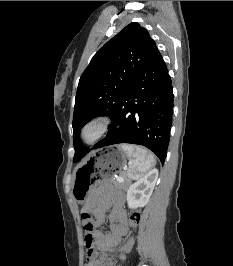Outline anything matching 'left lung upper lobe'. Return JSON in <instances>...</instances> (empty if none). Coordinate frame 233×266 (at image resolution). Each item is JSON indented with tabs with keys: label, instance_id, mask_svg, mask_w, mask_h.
I'll return each mask as SVG.
<instances>
[{
	"label": "left lung upper lobe",
	"instance_id": "obj_1",
	"mask_svg": "<svg viewBox=\"0 0 233 266\" xmlns=\"http://www.w3.org/2000/svg\"><path fill=\"white\" fill-rule=\"evenodd\" d=\"M156 48L148 31L133 22L93 56L81 75L75 98L74 162L88 151L79 138L82 127L93 117H112Z\"/></svg>",
	"mask_w": 233,
	"mask_h": 266
}]
</instances>
